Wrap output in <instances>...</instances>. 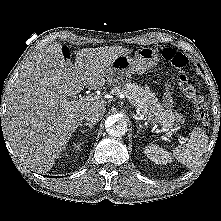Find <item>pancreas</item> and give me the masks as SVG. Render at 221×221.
<instances>
[{"mask_svg":"<svg viewBox=\"0 0 221 221\" xmlns=\"http://www.w3.org/2000/svg\"><path fill=\"white\" fill-rule=\"evenodd\" d=\"M111 93L113 95L124 94L130 101H133L136 108L153 123L160 124L167 132L178 129L176 122H183L182 115L174 113L172 110H165L158 102L154 93L143 89L142 86L126 82L115 86Z\"/></svg>","mask_w":221,"mask_h":221,"instance_id":"obj_1","label":"pancreas"}]
</instances>
